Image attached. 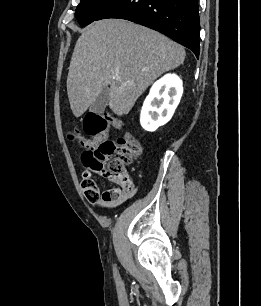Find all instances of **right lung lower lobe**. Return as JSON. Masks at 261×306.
Listing matches in <instances>:
<instances>
[{
    "instance_id": "98d812e1",
    "label": "right lung lower lobe",
    "mask_w": 261,
    "mask_h": 306,
    "mask_svg": "<svg viewBox=\"0 0 261 306\" xmlns=\"http://www.w3.org/2000/svg\"><path fill=\"white\" fill-rule=\"evenodd\" d=\"M126 19L157 30L199 57L198 0H116L96 20Z\"/></svg>"
}]
</instances>
